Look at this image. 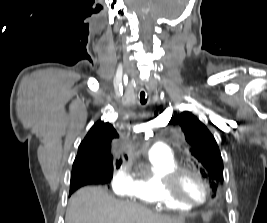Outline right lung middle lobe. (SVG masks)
<instances>
[{"instance_id": "right-lung-middle-lobe-1", "label": "right lung middle lobe", "mask_w": 267, "mask_h": 223, "mask_svg": "<svg viewBox=\"0 0 267 223\" xmlns=\"http://www.w3.org/2000/svg\"><path fill=\"white\" fill-rule=\"evenodd\" d=\"M105 174V176L107 177V178H112V176H113V166L112 167H109V168H107V169H105V172H104ZM73 176V175H72Z\"/></svg>"}]
</instances>
